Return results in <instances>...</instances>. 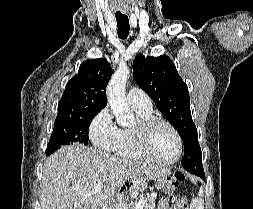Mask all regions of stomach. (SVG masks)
I'll list each match as a JSON object with an SVG mask.
<instances>
[{
	"label": "stomach",
	"instance_id": "stomach-1",
	"mask_svg": "<svg viewBox=\"0 0 253 209\" xmlns=\"http://www.w3.org/2000/svg\"><path fill=\"white\" fill-rule=\"evenodd\" d=\"M168 176H161L156 181H123L119 188V196H116L113 209H132L130 196L132 187L134 190H144V186H156L157 192H166Z\"/></svg>",
	"mask_w": 253,
	"mask_h": 209
}]
</instances>
